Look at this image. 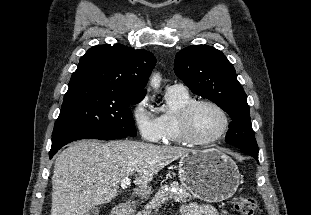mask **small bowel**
Instances as JSON below:
<instances>
[{
	"mask_svg": "<svg viewBox=\"0 0 311 215\" xmlns=\"http://www.w3.org/2000/svg\"><path fill=\"white\" fill-rule=\"evenodd\" d=\"M177 215H228L226 212H219L212 206L190 202L183 204L178 209Z\"/></svg>",
	"mask_w": 311,
	"mask_h": 215,
	"instance_id": "obj_1",
	"label": "small bowel"
}]
</instances>
